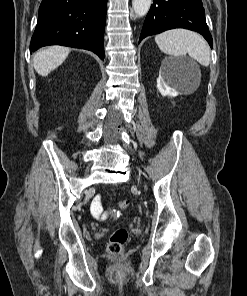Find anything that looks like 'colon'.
I'll list each match as a JSON object with an SVG mask.
<instances>
[{
  "mask_svg": "<svg viewBox=\"0 0 247 296\" xmlns=\"http://www.w3.org/2000/svg\"><path fill=\"white\" fill-rule=\"evenodd\" d=\"M131 204L129 198H124L115 206L108 208L105 212L107 216H117L120 210L127 208ZM128 241V232L125 228L116 229L110 236L108 252L112 255L120 254Z\"/></svg>",
  "mask_w": 247,
  "mask_h": 296,
  "instance_id": "colon-1",
  "label": "colon"
}]
</instances>
